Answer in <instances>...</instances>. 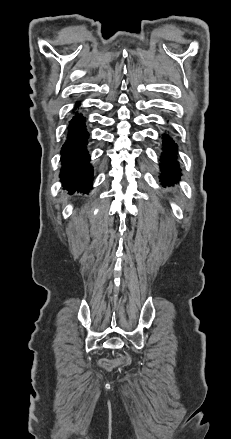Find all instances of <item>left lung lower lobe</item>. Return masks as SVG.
I'll return each instance as SVG.
<instances>
[{
    "instance_id": "obj_1",
    "label": "left lung lower lobe",
    "mask_w": 231,
    "mask_h": 439,
    "mask_svg": "<svg viewBox=\"0 0 231 439\" xmlns=\"http://www.w3.org/2000/svg\"><path fill=\"white\" fill-rule=\"evenodd\" d=\"M164 152L161 156L162 178L160 181L166 185L171 182H177L180 178V167L177 161V145L168 136H163Z\"/></svg>"
}]
</instances>
